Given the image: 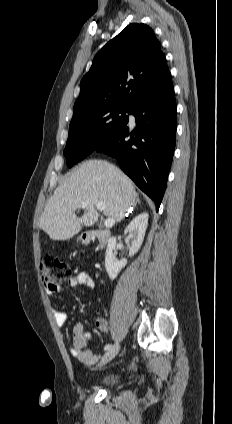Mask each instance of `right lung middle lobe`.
<instances>
[{
	"label": "right lung middle lobe",
	"mask_w": 232,
	"mask_h": 424,
	"mask_svg": "<svg viewBox=\"0 0 232 424\" xmlns=\"http://www.w3.org/2000/svg\"><path fill=\"white\" fill-rule=\"evenodd\" d=\"M131 106L93 107L72 118L64 150L68 167L91 154L128 123Z\"/></svg>",
	"instance_id": "dd1d6c3e"
}]
</instances>
